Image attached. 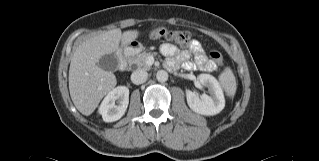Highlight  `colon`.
<instances>
[{"mask_svg": "<svg viewBox=\"0 0 319 161\" xmlns=\"http://www.w3.org/2000/svg\"><path fill=\"white\" fill-rule=\"evenodd\" d=\"M156 33L159 34L160 31H156ZM164 36L169 41L175 42L177 44H185L190 37L189 33L183 30H168L164 32ZM209 55L213 67L222 65V56L217 50L210 51Z\"/></svg>", "mask_w": 319, "mask_h": 161, "instance_id": "colon-1", "label": "colon"}]
</instances>
